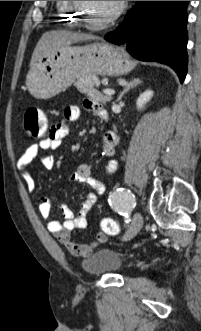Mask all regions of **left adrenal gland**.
Masks as SVG:
<instances>
[{
	"mask_svg": "<svg viewBox=\"0 0 201 331\" xmlns=\"http://www.w3.org/2000/svg\"><path fill=\"white\" fill-rule=\"evenodd\" d=\"M141 80L140 79H132L129 83H127V85L125 86L124 90L120 93V95L118 96L117 102L120 101L123 97V95L125 93H127L129 90H131L132 88L138 86L139 84H141Z\"/></svg>",
	"mask_w": 201,
	"mask_h": 331,
	"instance_id": "1",
	"label": "left adrenal gland"
}]
</instances>
